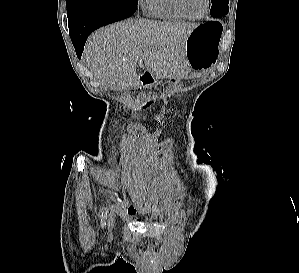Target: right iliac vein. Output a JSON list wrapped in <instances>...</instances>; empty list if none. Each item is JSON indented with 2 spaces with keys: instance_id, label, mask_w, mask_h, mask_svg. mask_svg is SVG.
Returning a JSON list of instances; mask_svg holds the SVG:
<instances>
[{
  "instance_id": "obj_1",
  "label": "right iliac vein",
  "mask_w": 299,
  "mask_h": 273,
  "mask_svg": "<svg viewBox=\"0 0 299 273\" xmlns=\"http://www.w3.org/2000/svg\"><path fill=\"white\" fill-rule=\"evenodd\" d=\"M113 222H114V215L111 214V215H110V218H109V227H112V226H113Z\"/></svg>"
}]
</instances>
